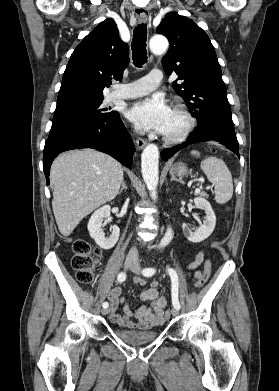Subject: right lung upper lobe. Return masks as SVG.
<instances>
[{"label": "right lung upper lobe", "instance_id": "obj_1", "mask_svg": "<svg viewBox=\"0 0 279 391\" xmlns=\"http://www.w3.org/2000/svg\"><path fill=\"white\" fill-rule=\"evenodd\" d=\"M129 48L112 19L98 24L75 48L62 78L56 109L103 99L112 79L121 80Z\"/></svg>", "mask_w": 279, "mask_h": 391}]
</instances>
